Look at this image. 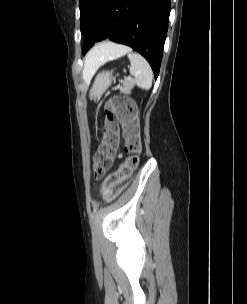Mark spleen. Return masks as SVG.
I'll use <instances>...</instances> for the list:
<instances>
[{
    "instance_id": "obj_1",
    "label": "spleen",
    "mask_w": 247,
    "mask_h": 304,
    "mask_svg": "<svg viewBox=\"0 0 247 304\" xmlns=\"http://www.w3.org/2000/svg\"><path fill=\"white\" fill-rule=\"evenodd\" d=\"M126 53H128L130 61V73L134 75L137 86L144 90L150 89L153 72L149 63L142 55L130 52L129 50L121 52L117 57L125 55ZM117 57H113L112 59Z\"/></svg>"
}]
</instances>
